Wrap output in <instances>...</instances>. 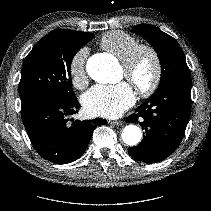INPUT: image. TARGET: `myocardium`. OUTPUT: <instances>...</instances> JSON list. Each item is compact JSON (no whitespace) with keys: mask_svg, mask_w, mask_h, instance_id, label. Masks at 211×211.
I'll list each match as a JSON object with an SVG mask.
<instances>
[{"mask_svg":"<svg viewBox=\"0 0 211 211\" xmlns=\"http://www.w3.org/2000/svg\"><path fill=\"white\" fill-rule=\"evenodd\" d=\"M144 53H148L153 60L154 70L152 78L147 85L141 86L135 83L133 85L142 97H149L157 90L162 80L163 66L158 50L151 44L140 43L122 60V65L126 71V78L130 80L139 58Z\"/></svg>","mask_w":211,"mask_h":211,"instance_id":"1","label":"myocardium"}]
</instances>
